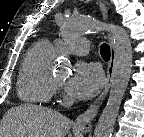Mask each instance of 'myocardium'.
<instances>
[{
    "mask_svg": "<svg viewBox=\"0 0 144 137\" xmlns=\"http://www.w3.org/2000/svg\"><path fill=\"white\" fill-rule=\"evenodd\" d=\"M52 84H53L55 91L60 90L63 85V83L56 76H52Z\"/></svg>",
    "mask_w": 144,
    "mask_h": 137,
    "instance_id": "myocardium-1",
    "label": "myocardium"
}]
</instances>
